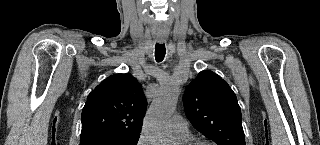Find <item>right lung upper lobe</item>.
Here are the masks:
<instances>
[{
    "instance_id": "1",
    "label": "right lung upper lobe",
    "mask_w": 320,
    "mask_h": 145,
    "mask_svg": "<svg viewBox=\"0 0 320 145\" xmlns=\"http://www.w3.org/2000/svg\"><path fill=\"white\" fill-rule=\"evenodd\" d=\"M147 100L130 74L111 75L88 96L81 138L100 133H140Z\"/></svg>"
}]
</instances>
